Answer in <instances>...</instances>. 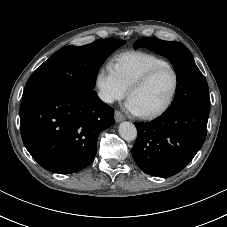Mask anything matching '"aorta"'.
Returning a JSON list of instances; mask_svg holds the SVG:
<instances>
[{"mask_svg":"<svg viewBox=\"0 0 227 227\" xmlns=\"http://www.w3.org/2000/svg\"><path fill=\"white\" fill-rule=\"evenodd\" d=\"M119 134L126 141H133L137 137V129L131 122H122L119 125Z\"/></svg>","mask_w":227,"mask_h":227,"instance_id":"1","label":"aorta"}]
</instances>
